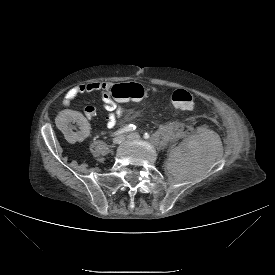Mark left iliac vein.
Returning <instances> with one entry per match:
<instances>
[{
  "label": "left iliac vein",
  "mask_w": 275,
  "mask_h": 275,
  "mask_svg": "<svg viewBox=\"0 0 275 275\" xmlns=\"http://www.w3.org/2000/svg\"><path fill=\"white\" fill-rule=\"evenodd\" d=\"M128 139H135V140H139L140 139V135L138 133H130L129 135H127Z\"/></svg>",
  "instance_id": "1"
}]
</instances>
